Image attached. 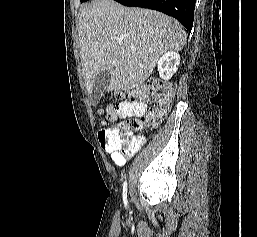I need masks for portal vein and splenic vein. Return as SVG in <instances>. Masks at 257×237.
Returning <instances> with one entry per match:
<instances>
[{
  "mask_svg": "<svg viewBox=\"0 0 257 237\" xmlns=\"http://www.w3.org/2000/svg\"><path fill=\"white\" fill-rule=\"evenodd\" d=\"M118 45H120V46H121V45H122V42H121V41H118Z\"/></svg>",
  "mask_w": 257,
  "mask_h": 237,
  "instance_id": "portal-vein-and-splenic-vein-1",
  "label": "portal vein and splenic vein"
}]
</instances>
